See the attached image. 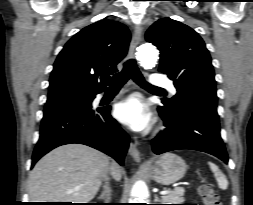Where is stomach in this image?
<instances>
[{
    "instance_id": "1",
    "label": "stomach",
    "mask_w": 253,
    "mask_h": 205,
    "mask_svg": "<svg viewBox=\"0 0 253 205\" xmlns=\"http://www.w3.org/2000/svg\"><path fill=\"white\" fill-rule=\"evenodd\" d=\"M186 169L184 160L173 153H165L149 165L153 179L163 185H169L180 180Z\"/></svg>"
}]
</instances>
